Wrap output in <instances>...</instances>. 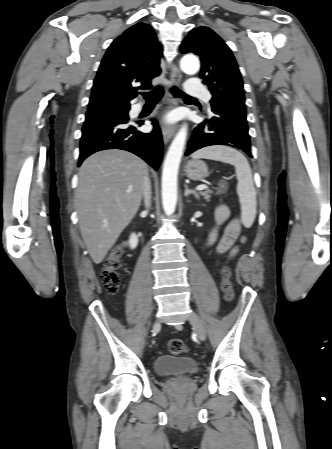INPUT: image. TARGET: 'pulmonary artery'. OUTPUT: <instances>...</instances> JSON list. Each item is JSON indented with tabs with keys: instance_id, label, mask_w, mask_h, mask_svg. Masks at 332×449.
Returning <instances> with one entry per match:
<instances>
[{
	"instance_id": "1",
	"label": "pulmonary artery",
	"mask_w": 332,
	"mask_h": 449,
	"mask_svg": "<svg viewBox=\"0 0 332 449\" xmlns=\"http://www.w3.org/2000/svg\"><path fill=\"white\" fill-rule=\"evenodd\" d=\"M186 91L192 96L202 98L203 101H205L207 104L210 103L211 96L209 91L206 89V87L198 83L196 79H190L189 83L186 85Z\"/></svg>"
}]
</instances>
